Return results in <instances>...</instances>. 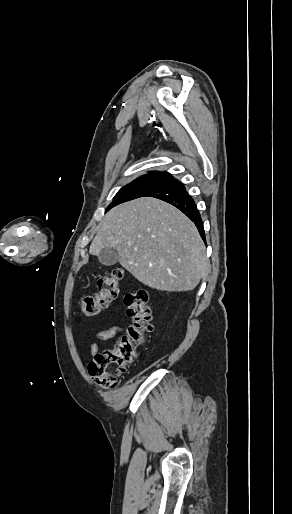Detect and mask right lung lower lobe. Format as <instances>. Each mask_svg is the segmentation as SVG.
Masks as SVG:
<instances>
[{"label": "right lung lower lobe", "instance_id": "obj_1", "mask_svg": "<svg viewBox=\"0 0 292 514\" xmlns=\"http://www.w3.org/2000/svg\"><path fill=\"white\" fill-rule=\"evenodd\" d=\"M142 197H155L168 202L182 211L196 225L202 239L205 241V232L200 213L194 200L186 191L184 185L174 177L157 184Z\"/></svg>", "mask_w": 292, "mask_h": 514}]
</instances>
